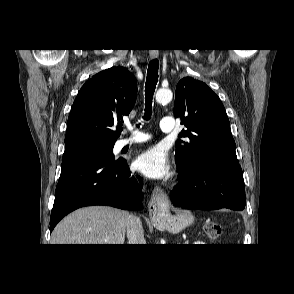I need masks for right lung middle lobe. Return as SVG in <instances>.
Listing matches in <instances>:
<instances>
[{
  "label": "right lung middle lobe",
  "mask_w": 294,
  "mask_h": 294,
  "mask_svg": "<svg viewBox=\"0 0 294 294\" xmlns=\"http://www.w3.org/2000/svg\"><path fill=\"white\" fill-rule=\"evenodd\" d=\"M114 143L115 142H106L89 139L70 142L65 144V152L62 160L88 154H99L113 160Z\"/></svg>",
  "instance_id": "dd1d6c3e"
}]
</instances>
